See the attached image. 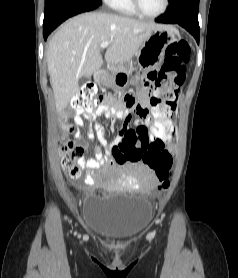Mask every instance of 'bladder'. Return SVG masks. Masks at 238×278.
<instances>
[{
	"label": "bladder",
	"mask_w": 238,
	"mask_h": 278,
	"mask_svg": "<svg viewBox=\"0 0 238 278\" xmlns=\"http://www.w3.org/2000/svg\"><path fill=\"white\" fill-rule=\"evenodd\" d=\"M152 218L148 198L123 191L87 197L82 210V221L87 229L115 240L138 235Z\"/></svg>",
	"instance_id": "obj_1"
}]
</instances>
